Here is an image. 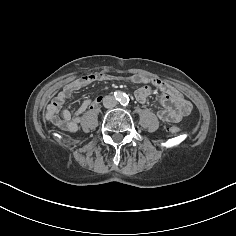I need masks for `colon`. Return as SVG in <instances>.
<instances>
[{
    "label": "colon",
    "mask_w": 236,
    "mask_h": 236,
    "mask_svg": "<svg viewBox=\"0 0 236 236\" xmlns=\"http://www.w3.org/2000/svg\"><path fill=\"white\" fill-rule=\"evenodd\" d=\"M170 131H171L172 133H177V132L179 131V129H178L177 127H171V128H170Z\"/></svg>",
    "instance_id": "obj_1"
}]
</instances>
